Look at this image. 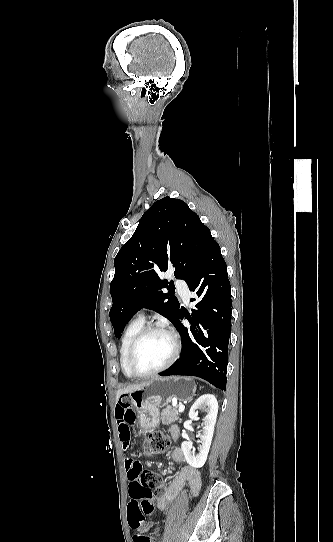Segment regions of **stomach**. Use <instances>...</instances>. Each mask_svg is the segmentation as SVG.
I'll list each match as a JSON object with an SVG mask.
<instances>
[{
    "label": "stomach",
    "instance_id": "0dacf381",
    "mask_svg": "<svg viewBox=\"0 0 333 542\" xmlns=\"http://www.w3.org/2000/svg\"><path fill=\"white\" fill-rule=\"evenodd\" d=\"M195 392L196 386L191 378L168 376L152 378L142 390L120 396L119 400H131L140 426L138 435L145 437L147 430H154L160 422L159 408L167 406L173 398L179 402H189L194 398Z\"/></svg>",
    "mask_w": 333,
    "mask_h": 542
}]
</instances>
